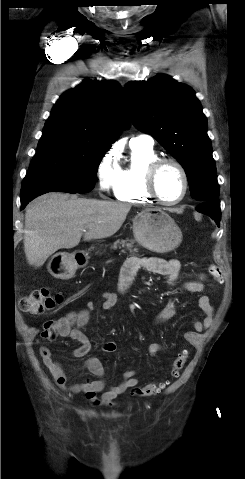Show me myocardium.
<instances>
[{"instance_id": "obj_1", "label": "myocardium", "mask_w": 245, "mask_h": 479, "mask_svg": "<svg viewBox=\"0 0 245 479\" xmlns=\"http://www.w3.org/2000/svg\"><path fill=\"white\" fill-rule=\"evenodd\" d=\"M166 165L174 166L180 173L183 181V191L181 196L174 201L163 199L157 189V179L160 171ZM145 187L147 192L159 203L163 205H176L182 202L189 190V178L184 166L176 159L169 157H158L148 166L145 177Z\"/></svg>"}]
</instances>
